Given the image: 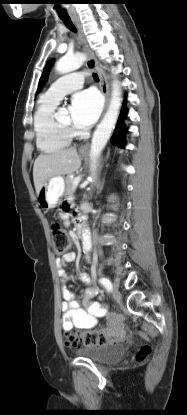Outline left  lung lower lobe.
I'll use <instances>...</instances> for the list:
<instances>
[{
    "instance_id": "left-lung-lower-lobe-1",
    "label": "left lung lower lobe",
    "mask_w": 187,
    "mask_h": 415,
    "mask_svg": "<svg viewBox=\"0 0 187 415\" xmlns=\"http://www.w3.org/2000/svg\"><path fill=\"white\" fill-rule=\"evenodd\" d=\"M126 98L124 100L119 119L115 128V131L113 133V136L111 137V142L115 143L119 147L125 146V124H124V117L127 115V108H126Z\"/></svg>"
}]
</instances>
